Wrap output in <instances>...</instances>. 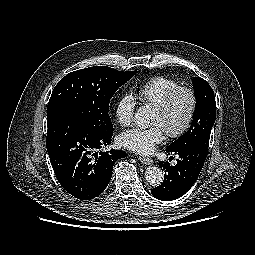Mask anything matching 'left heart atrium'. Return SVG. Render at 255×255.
I'll return each instance as SVG.
<instances>
[{
	"label": "left heart atrium",
	"instance_id": "obj_1",
	"mask_svg": "<svg viewBox=\"0 0 255 255\" xmlns=\"http://www.w3.org/2000/svg\"><path fill=\"white\" fill-rule=\"evenodd\" d=\"M164 139V130L160 125L148 129L132 128L122 132L118 138L122 147L139 154L151 153Z\"/></svg>",
	"mask_w": 255,
	"mask_h": 255
}]
</instances>
